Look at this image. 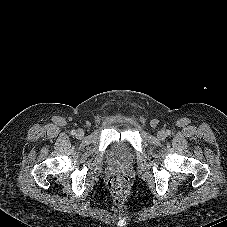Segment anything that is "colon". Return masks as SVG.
Wrapping results in <instances>:
<instances>
[{
	"label": "colon",
	"instance_id": "1",
	"mask_svg": "<svg viewBox=\"0 0 227 227\" xmlns=\"http://www.w3.org/2000/svg\"><path fill=\"white\" fill-rule=\"evenodd\" d=\"M107 185L115 202H123L130 193V182L124 174L113 175L109 178Z\"/></svg>",
	"mask_w": 227,
	"mask_h": 227
}]
</instances>
